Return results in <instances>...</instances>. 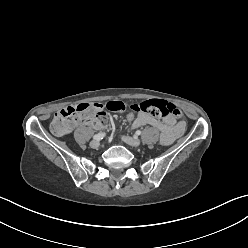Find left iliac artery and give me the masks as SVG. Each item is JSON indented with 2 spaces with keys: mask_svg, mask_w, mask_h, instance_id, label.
<instances>
[{
  "mask_svg": "<svg viewBox=\"0 0 248 248\" xmlns=\"http://www.w3.org/2000/svg\"><path fill=\"white\" fill-rule=\"evenodd\" d=\"M140 134H141V131L139 130L135 132V136H139Z\"/></svg>",
  "mask_w": 248,
  "mask_h": 248,
  "instance_id": "44dca946",
  "label": "left iliac artery"
}]
</instances>
